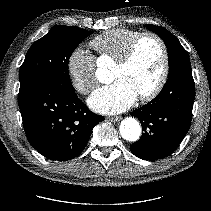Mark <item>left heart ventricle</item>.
<instances>
[{
    "label": "left heart ventricle",
    "instance_id": "left-heart-ventricle-1",
    "mask_svg": "<svg viewBox=\"0 0 211 211\" xmlns=\"http://www.w3.org/2000/svg\"><path fill=\"white\" fill-rule=\"evenodd\" d=\"M162 70V52L156 41L144 39L132 62L126 67H113L112 80L126 81L137 96L149 92L157 83Z\"/></svg>",
    "mask_w": 211,
    "mask_h": 211
}]
</instances>
